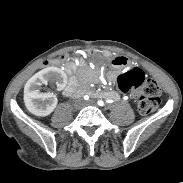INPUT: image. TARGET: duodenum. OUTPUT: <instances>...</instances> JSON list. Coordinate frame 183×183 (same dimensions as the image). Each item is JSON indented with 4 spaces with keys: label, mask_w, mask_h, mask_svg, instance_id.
<instances>
[{
    "label": "duodenum",
    "mask_w": 183,
    "mask_h": 183,
    "mask_svg": "<svg viewBox=\"0 0 183 183\" xmlns=\"http://www.w3.org/2000/svg\"><path fill=\"white\" fill-rule=\"evenodd\" d=\"M77 92V85H76V80L71 79L65 89V93L67 95H74Z\"/></svg>",
    "instance_id": "1"
}]
</instances>
